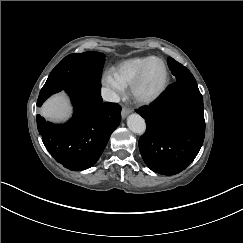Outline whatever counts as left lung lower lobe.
<instances>
[{
	"instance_id": "1",
	"label": "left lung lower lobe",
	"mask_w": 243,
	"mask_h": 243,
	"mask_svg": "<svg viewBox=\"0 0 243 243\" xmlns=\"http://www.w3.org/2000/svg\"><path fill=\"white\" fill-rule=\"evenodd\" d=\"M147 129L139 139L146 165L174 175L197 156L205 135L203 98L196 82H175L149 106L136 110Z\"/></svg>"
}]
</instances>
